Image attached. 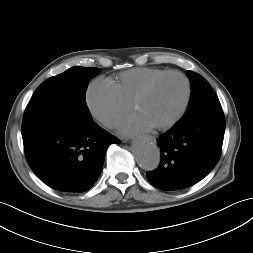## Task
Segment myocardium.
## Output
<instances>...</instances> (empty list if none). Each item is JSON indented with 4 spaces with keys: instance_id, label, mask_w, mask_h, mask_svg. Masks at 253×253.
I'll return each instance as SVG.
<instances>
[{
    "instance_id": "obj_1",
    "label": "myocardium",
    "mask_w": 253,
    "mask_h": 253,
    "mask_svg": "<svg viewBox=\"0 0 253 253\" xmlns=\"http://www.w3.org/2000/svg\"><path fill=\"white\" fill-rule=\"evenodd\" d=\"M172 75H177V76L181 77L183 79V81L185 82L186 91H185L184 100L182 102V105H181L180 109L178 110V112L175 114L174 117H172L166 123L153 126L157 130H167V129H170L175 124H177L181 120V118L184 116V114H185V112H186V110L188 108V105H189V102H190V99H191V93H192L190 79L183 72H181V71H178V70H169V71H166V72H164V73L156 76L152 80H150L142 89H140L136 93V95L133 97V99L130 102L131 108L134 109L135 105L142 98H144L153 89V87L158 82H160L162 79H164V78H166L168 76H172Z\"/></svg>"
}]
</instances>
